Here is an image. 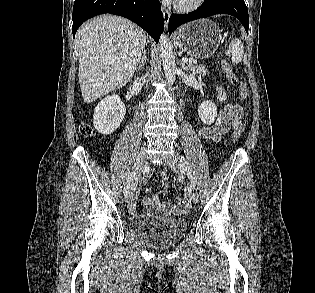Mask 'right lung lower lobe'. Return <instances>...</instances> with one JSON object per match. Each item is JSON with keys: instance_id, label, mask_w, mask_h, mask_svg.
Listing matches in <instances>:
<instances>
[{"instance_id": "1", "label": "right lung lower lobe", "mask_w": 315, "mask_h": 293, "mask_svg": "<svg viewBox=\"0 0 315 293\" xmlns=\"http://www.w3.org/2000/svg\"><path fill=\"white\" fill-rule=\"evenodd\" d=\"M103 13L130 19L156 42L163 31V14L159 0H75L72 15L73 36L84 21Z\"/></svg>"}]
</instances>
